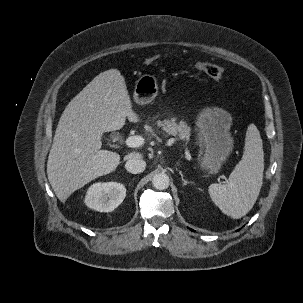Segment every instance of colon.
I'll list each match as a JSON object with an SVG mask.
<instances>
[{
	"mask_svg": "<svg viewBox=\"0 0 303 303\" xmlns=\"http://www.w3.org/2000/svg\"><path fill=\"white\" fill-rule=\"evenodd\" d=\"M156 60H157L156 56L149 57L148 59L145 60V64L153 65ZM195 67L198 71L204 73L205 75H207L208 77L214 80L221 81L224 79L225 76L224 70L215 64L208 62H198L196 63Z\"/></svg>",
	"mask_w": 303,
	"mask_h": 303,
	"instance_id": "colon-1",
	"label": "colon"
}]
</instances>
